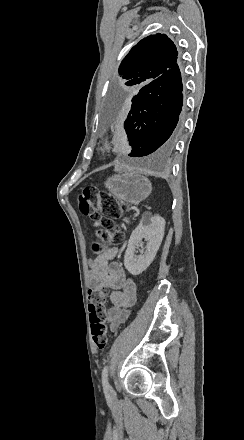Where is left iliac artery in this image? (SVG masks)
<instances>
[{
  "instance_id": "1",
  "label": "left iliac artery",
  "mask_w": 244,
  "mask_h": 440,
  "mask_svg": "<svg viewBox=\"0 0 244 440\" xmlns=\"http://www.w3.org/2000/svg\"><path fill=\"white\" fill-rule=\"evenodd\" d=\"M108 365H105L102 370V386L104 391H109L111 389V386L108 382Z\"/></svg>"
}]
</instances>
